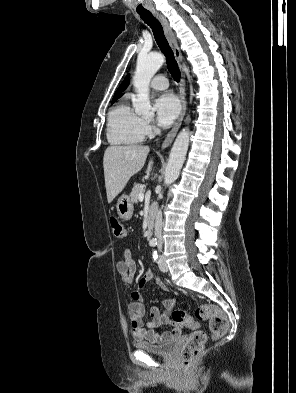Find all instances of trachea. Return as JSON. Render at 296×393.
I'll return each instance as SVG.
<instances>
[{
    "instance_id": "3493384b",
    "label": "trachea",
    "mask_w": 296,
    "mask_h": 393,
    "mask_svg": "<svg viewBox=\"0 0 296 393\" xmlns=\"http://www.w3.org/2000/svg\"><path fill=\"white\" fill-rule=\"evenodd\" d=\"M139 15L141 19L151 27L159 48L165 54L167 68L174 80L178 82L180 80V70L174 58L173 51L171 50L164 36L161 24L159 23V21H157L156 18H154V16L149 11L139 12Z\"/></svg>"
}]
</instances>
